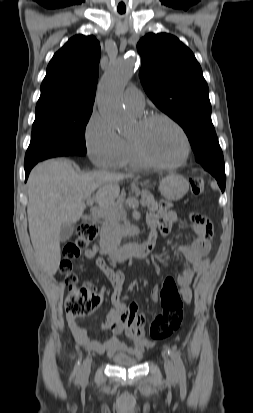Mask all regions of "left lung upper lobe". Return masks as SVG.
Returning <instances> with one entry per match:
<instances>
[{
	"mask_svg": "<svg viewBox=\"0 0 253 413\" xmlns=\"http://www.w3.org/2000/svg\"><path fill=\"white\" fill-rule=\"evenodd\" d=\"M137 49L142 58L139 77L149 98L184 129L198 163L224 169L208 85L192 51L167 33L145 35Z\"/></svg>",
	"mask_w": 253,
	"mask_h": 413,
	"instance_id": "1",
	"label": "left lung upper lobe"
}]
</instances>
